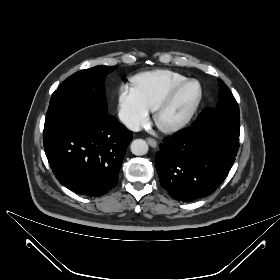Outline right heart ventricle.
Wrapping results in <instances>:
<instances>
[{
  "label": "right heart ventricle",
  "mask_w": 280,
  "mask_h": 280,
  "mask_svg": "<svg viewBox=\"0 0 280 280\" xmlns=\"http://www.w3.org/2000/svg\"><path fill=\"white\" fill-rule=\"evenodd\" d=\"M188 79L185 75L167 70L158 69L138 73L131 78L132 87L137 92L143 104L153 110L156 104L175 84Z\"/></svg>",
  "instance_id": "obj_1"
}]
</instances>
